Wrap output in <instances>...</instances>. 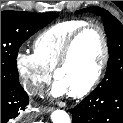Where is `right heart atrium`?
Returning a JSON list of instances; mask_svg holds the SVG:
<instances>
[{
	"mask_svg": "<svg viewBox=\"0 0 123 123\" xmlns=\"http://www.w3.org/2000/svg\"><path fill=\"white\" fill-rule=\"evenodd\" d=\"M15 67L24 88L30 94L39 93L51 78V71L41 64L34 53L17 52Z\"/></svg>",
	"mask_w": 123,
	"mask_h": 123,
	"instance_id": "d8ad5b80",
	"label": "right heart atrium"
}]
</instances>
